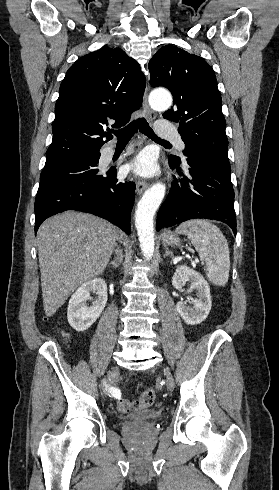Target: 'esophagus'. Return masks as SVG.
Segmentation results:
<instances>
[{
	"label": "esophagus",
	"mask_w": 279,
	"mask_h": 490,
	"mask_svg": "<svg viewBox=\"0 0 279 490\" xmlns=\"http://www.w3.org/2000/svg\"><path fill=\"white\" fill-rule=\"evenodd\" d=\"M142 105H143L144 111L146 112V116H147L148 120H150L151 122L153 120H155L156 113L153 112V110H151V108L148 105V87L147 86L145 88ZM147 188H148V184L144 180H138L137 186H136V192L138 195H141L144 192V190H146Z\"/></svg>",
	"instance_id": "34e87169"
}]
</instances>
